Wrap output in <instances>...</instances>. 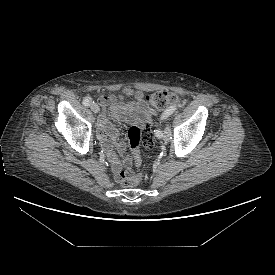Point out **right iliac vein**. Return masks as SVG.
I'll return each mask as SVG.
<instances>
[{"instance_id":"right-iliac-vein-1","label":"right iliac vein","mask_w":275,"mask_h":275,"mask_svg":"<svg viewBox=\"0 0 275 275\" xmlns=\"http://www.w3.org/2000/svg\"><path fill=\"white\" fill-rule=\"evenodd\" d=\"M91 109L94 113H98L100 110L98 104H96V103L91 104Z\"/></svg>"}]
</instances>
